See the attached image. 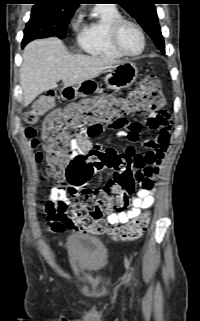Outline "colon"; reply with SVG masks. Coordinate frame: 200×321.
Wrapping results in <instances>:
<instances>
[{
	"instance_id": "colon-1",
	"label": "colon",
	"mask_w": 200,
	"mask_h": 321,
	"mask_svg": "<svg viewBox=\"0 0 200 321\" xmlns=\"http://www.w3.org/2000/svg\"><path fill=\"white\" fill-rule=\"evenodd\" d=\"M165 102L160 80L154 76L145 77L138 88L122 98L101 96L63 109L51 111L43 125L45 153H37V160L45 161L47 176L63 180L68 185L69 197L76 198L65 219L80 231L92 234H107L116 241H132L140 238L149 223L147 213L130 223L109 227L102 219L103 214L121 211L130 195L140 184V175L133 169L129 159L112 151L93 150L89 153L70 156L69 139L74 135L96 137L105 129L117 127L129 114L156 111ZM55 105V96L46 94L24 115L28 124L35 123ZM26 137L32 146L39 143L34 128H27ZM113 171L103 188L85 189L83 186L98 171ZM45 211L53 212L54 206L47 204Z\"/></svg>"
}]
</instances>
